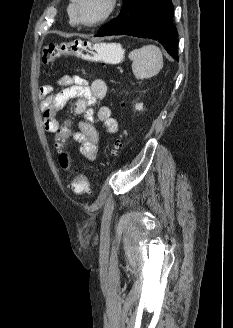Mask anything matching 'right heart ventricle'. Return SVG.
<instances>
[{
  "mask_svg": "<svg viewBox=\"0 0 233 328\" xmlns=\"http://www.w3.org/2000/svg\"><path fill=\"white\" fill-rule=\"evenodd\" d=\"M67 12H68L70 24H72V25L76 24L77 22H76L74 10H73V0H71V3L68 5Z\"/></svg>",
  "mask_w": 233,
  "mask_h": 328,
  "instance_id": "obj_1",
  "label": "right heart ventricle"
}]
</instances>
